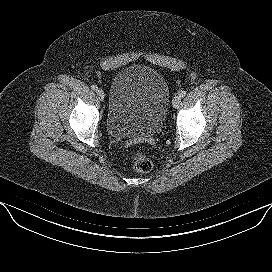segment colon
Masks as SVG:
<instances>
[{
    "mask_svg": "<svg viewBox=\"0 0 272 272\" xmlns=\"http://www.w3.org/2000/svg\"><path fill=\"white\" fill-rule=\"evenodd\" d=\"M132 166L139 173H147L152 169L150 158L141 151H134L131 155Z\"/></svg>",
    "mask_w": 272,
    "mask_h": 272,
    "instance_id": "colon-1",
    "label": "colon"
}]
</instances>
